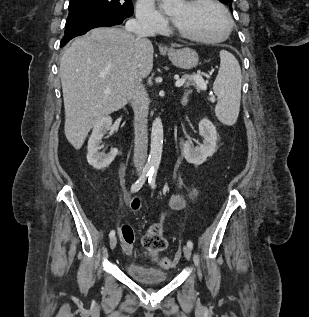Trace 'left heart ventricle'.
Returning <instances> with one entry per match:
<instances>
[{"instance_id": "obj_1", "label": "left heart ventricle", "mask_w": 309, "mask_h": 317, "mask_svg": "<svg viewBox=\"0 0 309 317\" xmlns=\"http://www.w3.org/2000/svg\"><path fill=\"white\" fill-rule=\"evenodd\" d=\"M171 16L180 30L196 36L215 38L223 35L226 29L223 14L208 3L191 7L181 2L171 12Z\"/></svg>"}]
</instances>
